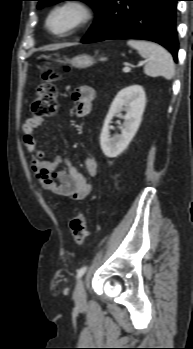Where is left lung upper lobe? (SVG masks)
<instances>
[{
    "label": "left lung upper lobe",
    "mask_w": 193,
    "mask_h": 349,
    "mask_svg": "<svg viewBox=\"0 0 193 349\" xmlns=\"http://www.w3.org/2000/svg\"><path fill=\"white\" fill-rule=\"evenodd\" d=\"M37 1H39L38 8H42L46 5H51L61 1H84L89 3L92 6V8L96 11V13L100 14L107 0H37Z\"/></svg>",
    "instance_id": "obj_1"
}]
</instances>
